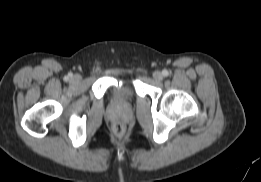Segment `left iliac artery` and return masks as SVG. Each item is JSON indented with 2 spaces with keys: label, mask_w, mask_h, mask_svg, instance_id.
<instances>
[{
  "label": "left iliac artery",
  "mask_w": 261,
  "mask_h": 182,
  "mask_svg": "<svg viewBox=\"0 0 261 182\" xmlns=\"http://www.w3.org/2000/svg\"><path fill=\"white\" fill-rule=\"evenodd\" d=\"M162 74H163L164 76H168V75H169V72H168L167 70H163V71H162Z\"/></svg>",
  "instance_id": "left-iliac-artery-1"
}]
</instances>
